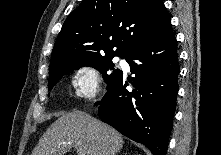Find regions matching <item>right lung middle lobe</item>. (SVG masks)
Listing matches in <instances>:
<instances>
[{
	"mask_svg": "<svg viewBox=\"0 0 221 155\" xmlns=\"http://www.w3.org/2000/svg\"><path fill=\"white\" fill-rule=\"evenodd\" d=\"M112 58L113 57L80 62L75 65L61 67L52 72H49L48 90H51L53 86L61 79L62 76L84 66H90L98 69L103 74V78L110 87L112 83L122 73L121 70L114 68V64L112 63ZM110 71L112 72L110 73Z\"/></svg>",
	"mask_w": 221,
	"mask_h": 155,
	"instance_id": "right-lung-middle-lobe-1",
	"label": "right lung middle lobe"
}]
</instances>
